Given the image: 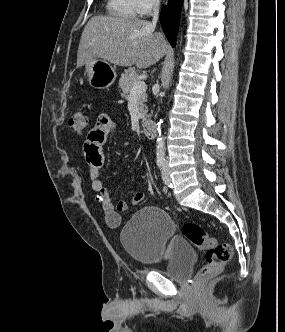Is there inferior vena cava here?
I'll list each match as a JSON object with an SVG mask.
<instances>
[{"label": "inferior vena cava", "instance_id": "1", "mask_svg": "<svg viewBox=\"0 0 285 332\" xmlns=\"http://www.w3.org/2000/svg\"><path fill=\"white\" fill-rule=\"evenodd\" d=\"M159 0H153V19L152 24L156 25L158 19H159Z\"/></svg>", "mask_w": 285, "mask_h": 332}]
</instances>
